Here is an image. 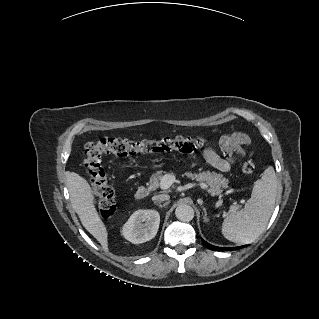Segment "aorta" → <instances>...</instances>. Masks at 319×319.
<instances>
[{"label":"aorta","mask_w":319,"mask_h":319,"mask_svg":"<svg viewBox=\"0 0 319 319\" xmlns=\"http://www.w3.org/2000/svg\"><path fill=\"white\" fill-rule=\"evenodd\" d=\"M175 215L182 222H189L194 218V210L188 204H179L176 207Z\"/></svg>","instance_id":"762f6f07"}]
</instances>
